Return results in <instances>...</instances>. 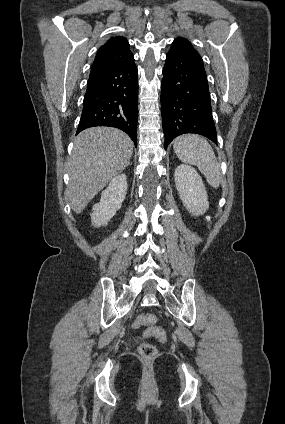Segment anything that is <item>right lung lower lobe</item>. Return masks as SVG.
Returning <instances> with one entry per match:
<instances>
[{"label": "right lung lower lobe", "instance_id": "right-lung-lower-lobe-1", "mask_svg": "<svg viewBox=\"0 0 285 424\" xmlns=\"http://www.w3.org/2000/svg\"><path fill=\"white\" fill-rule=\"evenodd\" d=\"M134 58L124 64L90 74L77 134L94 126L116 127L136 145L138 76Z\"/></svg>", "mask_w": 285, "mask_h": 424}]
</instances>
